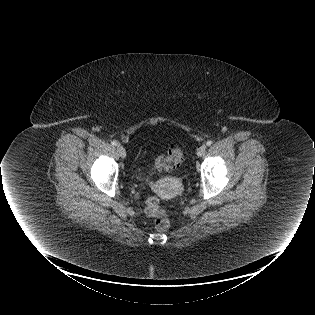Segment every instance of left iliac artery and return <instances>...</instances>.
<instances>
[{"instance_id": "1", "label": "left iliac artery", "mask_w": 315, "mask_h": 315, "mask_svg": "<svg viewBox=\"0 0 315 315\" xmlns=\"http://www.w3.org/2000/svg\"><path fill=\"white\" fill-rule=\"evenodd\" d=\"M212 144V141L211 140H208L207 142H206V145L207 146H210Z\"/></svg>"}]
</instances>
